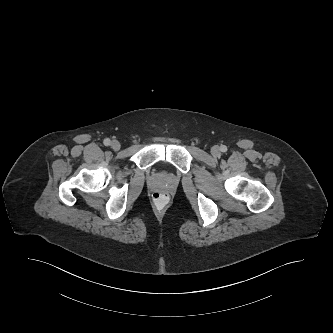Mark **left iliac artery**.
<instances>
[{"label": "left iliac artery", "instance_id": "44dca946", "mask_svg": "<svg viewBox=\"0 0 333 333\" xmlns=\"http://www.w3.org/2000/svg\"><path fill=\"white\" fill-rule=\"evenodd\" d=\"M220 150L222 152H226L227 151V147L225 145H222L221 148H220Z\"/></svg>", "mask_w": 333, "mask_h": 333}]
</instances>
